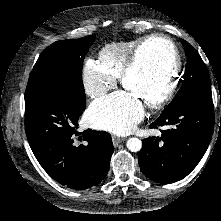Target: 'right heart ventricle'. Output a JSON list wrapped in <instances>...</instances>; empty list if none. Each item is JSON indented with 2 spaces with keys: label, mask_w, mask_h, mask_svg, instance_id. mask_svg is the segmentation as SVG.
Wrapping results in <instances>:
<instances>
[{
  "label": "right heart ventricle",
  "mask_w": 221,
  "mask_h": 221,
  "mask_svg": "<svg viewBox=\"0 0 221 221\" xmlns=\"http://www.w3.org/2000/svg\"><path fill=\"white\" fill-rule=\"evenodd\" d=\"M143 37L127 41H119L106 45L98 56V65L109 78L120 77L133 47Z\"/></svg>",
  "instance_id": "obj_1"
}]
</instances>
